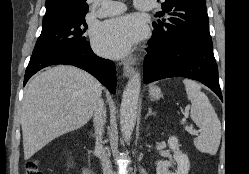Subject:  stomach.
<instances>
[{
    "instance_id": "obj_1",
    "label": "stomach",
    "mask_w": 249,
    "mask_h": 174,
    "mask_svg": "<svg viewBox=\"0 0 249 174\" xmlns=\"http://www.w3.org/2000/svg\"><path fill=\"white\" fill-rule=\"evenodd\" d=\"M149 95L152 99L158 100L162 96L161 89L157 86H152L149 89Z\"/></svg>"
}]
</instances>
